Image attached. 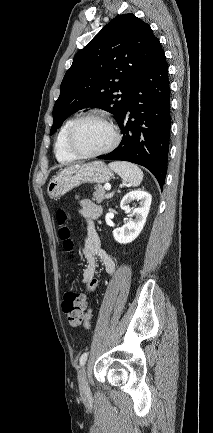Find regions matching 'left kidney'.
<instances>
[{"label": "left kidney", "mask_w": 213, "mask_h": 433, "mask_svg": "<svg viewBox=\"0 0 213 433\" xmlns=\"http://www.w3.org/2000/svg\"><path fill=\"white\" fill-rule=\"evenodd\" d=\"M137 200L140 201V207L134 208L130 212L129 203ZM152 202V196L142 190H133L127 193L121 200L120 207L125 213H128L129 221L121 228H116L113 231L114 239L121 243L127 244L134 241L141 233ZM135 216V219L132 217Z\"/></svg>", "instance_id": "obj_1"}]
</instances>
